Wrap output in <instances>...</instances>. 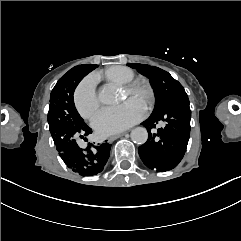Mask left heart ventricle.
I'll list each match as a JSON object with an SVG mask.
<instances>
[{"mask_svg":"<svg viewBox=\"0 0 241 241\" xmlns=\"http://www.w3.org/2000/svg\"><path fill=\"white\" fill-rule=\"evenodd\" d=\"M132 97L142 103L144 107L150 105L153 99V92L149 83L145 80L139 81L132 92Z\"/></svg>","mask_w":241,"mask_h":241,"instance_id":"b2bd125f","label":"left heart ventricle"}]
</instances>
